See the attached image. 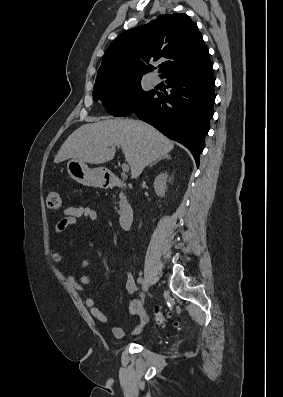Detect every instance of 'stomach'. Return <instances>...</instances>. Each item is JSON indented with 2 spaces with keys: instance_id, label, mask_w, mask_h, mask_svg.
Here are the masks:
<instances>
[{
  "instance_id": "1",
  "label": "stomach",
  "mask_w": 283,
  "mask_h": 397,
  "mask_svg": "<svg viewBox=\"0 0 283 397\" xmlns=\"http://www.w3.org/2000/svg\"><path fill=\"white\" fill-rule=\"evenodd\" d=\"M67 172L71 178L85 186L103 187L105 184L103 168L91 169L85 162L78 159L68 161Z\"/></svg>"
}]
</instances>
